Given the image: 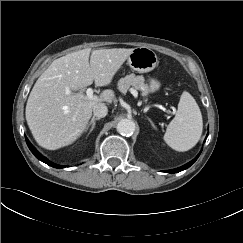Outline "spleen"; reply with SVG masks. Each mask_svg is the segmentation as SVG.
Returning a JSON list of instances; mask_svg holds the SVG:
<instances>
[{"label": "spleen", "mask_w": 243, "mask_h": 243, "mask_svg": "<svg viewBox=\"0 0 243 243\" xmlns=\"http://www.w3.org/2000/svg\"><path fill=\"white\" fill-rule=\"evenodd\" d=\"M201 111L192 95L184 91L174 119L167 126L164 141L179 152L193 148L202 135Z\"/></svg>", "instance_id": "spleen-1"}]
</instances>
